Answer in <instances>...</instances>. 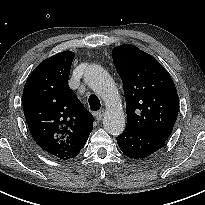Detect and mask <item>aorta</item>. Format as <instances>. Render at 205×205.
<instances>
[{
    "mask_svg": "<svg viewBox=\"0 0 205 205\" xmlns=\"http://www.w3.org/2000/svg\"><path fill=\"white\" fill-rule=\"evenodd\" d=\"M84 79L107 107L103 116L105 130L112 135H120L124 131L126 121L120 96L111 76L103 67L93 64L86 69Z\"/></svg>",
    "mask_w": 205,
    "mask_h": 205,
    "instance_id": "1",
    "label": "aorta"
}]
</instances>
